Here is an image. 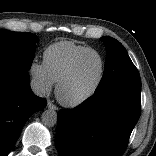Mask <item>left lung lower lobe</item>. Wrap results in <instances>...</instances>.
I'll list each match as a JSON object with an SVG mask.
<instances>
[{"instance_id": "1", "label": "left lung lower lobe", "mask_w": 156, "mask_h": 156, "mask_svg": "<svg viewBox=\"0 0 156 156\" xmlns=\"http://www.w3.org/2000/svg\"><path fill=\"white\" fill-rule=\"evenodd\" d=\"M141 90L113 87L95 92L75 109L58 112L60 156H121L141 111ZM90 133H96L92 139Z\"/></svg>"}]
</instances>
